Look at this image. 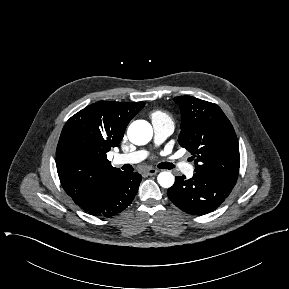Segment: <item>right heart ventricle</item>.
<instances>
[{
    "label": "right heart ventricle",
    "mask_w": 289,
    "mask_h": 289,
    "mask_svg": "<svg viewBox=\"0 0 289 289\" xmlns=\"http://www.w3.org/2000/svg\"><path fill=\"white\" fill-rule=\"evenodd\" d=\"M152 122H164L173 124L172 118L170 115L162 110H156L151 113Z\"/></svg>",
    "instance_id": "right-heart-ventricle-1"
}]
</instances>
